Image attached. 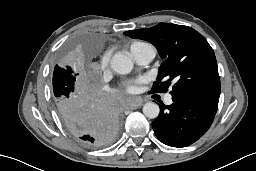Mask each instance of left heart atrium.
<instances>
[{"label":"left heart atrium","mask_w":256,"mask_h":171,"mask_svg":"<svg viewBox=\"0 0 256 171\" xmlns=\"http://www.w3.org/2000/svg\"><path fill=\"white\" fill-rule=\"evenodd\" d=\"M138 81H133L125 85L124 90L129 94H135L138 92Z\"/></svg>","instance_id":"39dd6f15"}]
</instances>
